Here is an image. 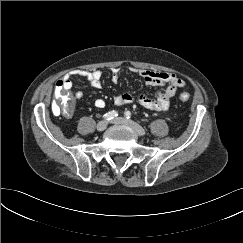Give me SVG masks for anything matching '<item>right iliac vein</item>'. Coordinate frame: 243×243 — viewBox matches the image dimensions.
I'll use <instances>...</instances> for the list:
<instances>
[{
    "mask_svg": "<svg viewBox=\"0 0 243 243\" xmlns=\"http://www.w3.org/2000/svg\"><path fill=\"white\" fill-rule=\"evenodd\" d=\"M107 128V121H100L97 124V130L98 131H104Z\"/></svg>",
    "mask_w": 243,
    "mask_h": 243,
    "instance_id": "obj_1",
    "label": "right iliac vein"
}]
</instances>
